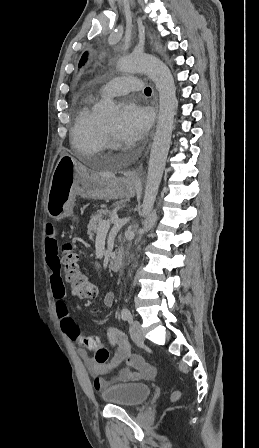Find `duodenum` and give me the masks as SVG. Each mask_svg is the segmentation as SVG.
I'll use <instances>...</instances> for the list:
<instances>
[{"mask_svg":"<svg viewBox=\"0 0 259 448\" xmlns=\"http://www.w3.org/2000/svg\"><path fill=\"white\" fill-rule=\"evenodd\" d=\"M123 266V250L120 249L116 257L111 262V270L118 272Z\"/></svg>","mask_w":259,"mask_h":448,"instance_id":"410a0bca","label":"duodenum"}]
</instances>
